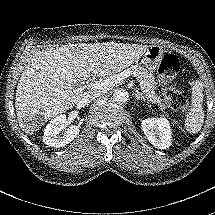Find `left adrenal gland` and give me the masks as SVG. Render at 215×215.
Wrapping results in <instances>:
<instances>
[{"mask_svg": "<svg viewBox=\"0 0 215 215\" xmlns=\"http://www.w3.org/2000/svg\"><path fill=\"white\" fill-rule=\"evenodd\" d=\"M135 97H136L137 100H143V101L146 100L144 98L143 94L141 92H138V91L135 93Z\"/></svg>", "mask_w": 215, "mask_h": 215, "instance_id": "1", "label": "left adrenal gland"}]
</instances>
